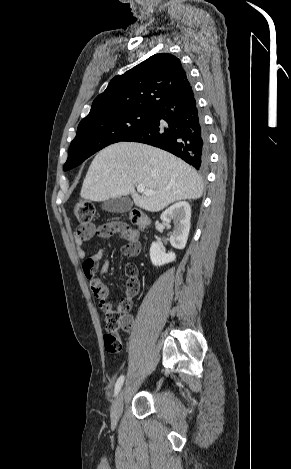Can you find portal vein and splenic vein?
<instances>
[{"mask_svg":"<svg viewBox=\"0 0 291 469\" xmlns=\"http://www.w3.org/2000/svg\"><path fill=\"white\" fill-rule=\"evenodd\" d=\"M137 191L139 193H142V194H145V195H152L153 194V191L146 189L144 185H138L137 186Z\"/></svg>","mask_w":291,"mask_h":469,"instance_id":"1","label":"portal vein and splenic vein"}]
</instances>
